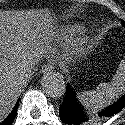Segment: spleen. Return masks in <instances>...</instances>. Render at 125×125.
I'll return each instance as SVG.
<instances>
[{"label": "spleen", "mask_w": 125, "mask_h": 125, "mask_svg": "<svg viewBox=\"0 0 125 125\" xmlns=\"http://www.w3.org/2000/svg\"><path fill=\"white\" fill-rule=\"evenodd\" d=\"M125 58V56H124ZM125 92V61L119 64L111 83H101L96 90L78 93L80 102L92 111H97L110 105Z\"/></svg>", "instance_id": "obj_1"}]
</instances>
